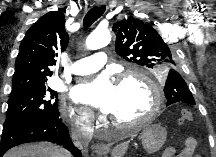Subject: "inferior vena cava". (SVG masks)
I'll return each instance as SVG.
<instances>
[{"instance_id":"obj_1","label":"inferior vena cava","mask_w":216,"mask_h":157,"mask_svg":"<svg viewBox=\"0 0 216 157\" xmlns=\"http://www.w3.org/2000/svg\"><path fill=\"white\" fill-rule=\"evenodd\" d=\"M72 139L75 144V146L80 149L84 150L88 146V142L91 139V135L88 133H82V132H73Z\"/></svg>"}]
</instances>
